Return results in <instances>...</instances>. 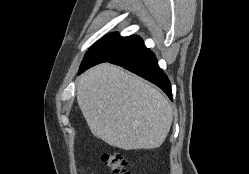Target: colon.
<instances>
[{
	"instance_id": "colon-1",
	"label": "colon",
	"mask_w": 249,
	"mask_h": 174,
	"mask_svg": "<svg viewBox=\"0 0 249 174\" xmlns=\"http://www.w3.org/2000/svg\"><path fill=\"white\" fill-rule=\"evenodd\" d=\"M102 160L113 174H134L129 169L126 158L120 152H106L102 155Z\"/></svg>"
}]
</instances>
